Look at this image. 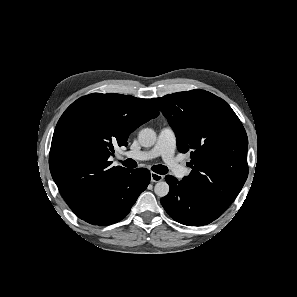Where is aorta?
Returning a JSON list of instances; mask_svg holds the SVG:
<instances>
[{"mask_svg":"<svg viewBox=\"0 0 297 297\" xmlns=\"http://www.w3.org/2000/svg\"><path fill=\"white\" fill-rule=\"evenodd\" d=\"M138 141L143 147H151L156 142V132L151 128H144L138 134ZM154 192L159 197H165L169 193V185L166 181H159L154 187Z\"/></svg>","mask_w":297,"mask_h":297,"instance_id":"aorta-1","label":"aorta"}]
</instances>
